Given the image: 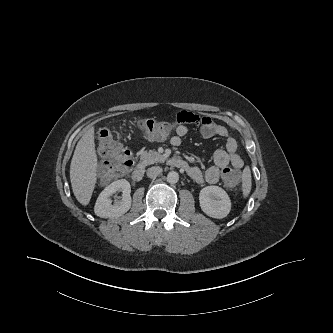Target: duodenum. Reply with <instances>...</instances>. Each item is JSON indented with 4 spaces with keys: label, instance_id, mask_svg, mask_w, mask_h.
Instances as JSON below:
<instances>
[{
    "label": "duodenum",
    "instance_id": "obj_1",
    "mask_svg": "<svg viewBox=\"0 0 333 333\" xmlns=\"http://www.w3.org/2000/svg\"><path fill=\"white\" fill-rule=\"evenodd\" d=\"M167 163L170 166L178 168V169H182L185 171L189 170L188 163L184 159L179 158V157H170L167 160ZM144 173H145V164H144V162H140L136 166V168L132 171L131 177L134 181H140L143 178Z\"/></svg>",
    "mask_w": 333,
    "mask_h": 333
}]
</instances>
